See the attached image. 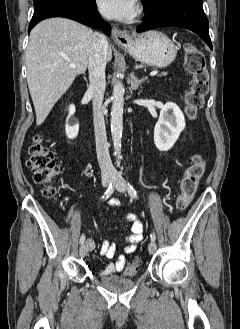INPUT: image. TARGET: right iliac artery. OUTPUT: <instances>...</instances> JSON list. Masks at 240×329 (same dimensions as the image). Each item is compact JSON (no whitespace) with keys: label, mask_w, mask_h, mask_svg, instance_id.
<instances>
[{"label":"right iliac artery","mask_w":240,"mask_h":329,"mask_svg":"<svg viewBox=\"0 0 240 329\" xmlns=\"http://www.w3.org/2000/svg\"><path fill=\"white\" fill-rule=\"evenodd\" d=\"M113 192H114V185L113 184H110L109 187H108V189L104 193V196L102 197V199H104V200L105 199H108L112 195ZM84 241H85V235H82L80 237L79 242H80V244H83Z\"/></svg>","instance_id":"right-iliac-artery-1"}]
</instances>
